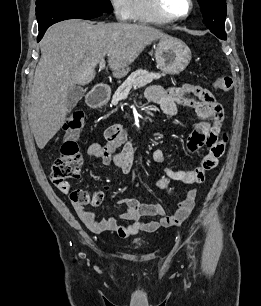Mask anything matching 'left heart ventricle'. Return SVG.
I'll return each mask as SVG.
<instances>
[{"label":"left heart ventricle","instance_id":"obj_1","mask_svg":"<svg viewBox=\"0 0 261 306\" xmlns=\"http://www.w3.org/2000/svg\"><path fill=\"white\" fill-rule=\"evenodd\" d=\"M165 11L171 16L184 15L189 8L188 0H162Z\"/></svg>","mask_w":261,"mask_h":306}]
</instances>
